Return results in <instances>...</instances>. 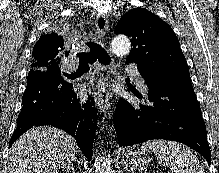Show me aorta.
<instances>
[{"label": "aorta", "instance_id": "aorta-1", "mask_svg": "<svg viewBox=\"0 0 219 173\" xmlns=\"http://www.w3.org/2000/svg\"><path fill=\"white\" fill-rule=\"evenodd\" d=\"M131 49L130 40L125 35H117L111 43V51L118 57L129 55ZM95 173H115L111 161L102 155L94 157Z\"/></svg>", "mask_w": 219, "mask_h": 173}]
</instances>
